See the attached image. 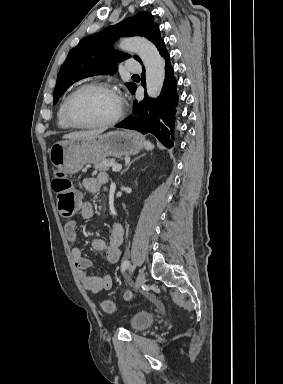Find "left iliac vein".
I'll list each match as a JSON object with an SVG mask.
<instances>
[{
	"instance_id": "1",
	"label": "left iliac vein",
	"mask_w": 283,
	"mask_h": 384,
	"mask_svg": "<svg viewBox=\"0 0 283 384\" xmlns=\"http://www.w3.org/2000/svg\"><path fill=\"white\" fill-rule=\"evenodd\" d=\"M146 281L145 274L142 270L139 271L136 282H135V290L138 291L141 289V287L144 285Z\"/></svg>"
}]
</instances>
